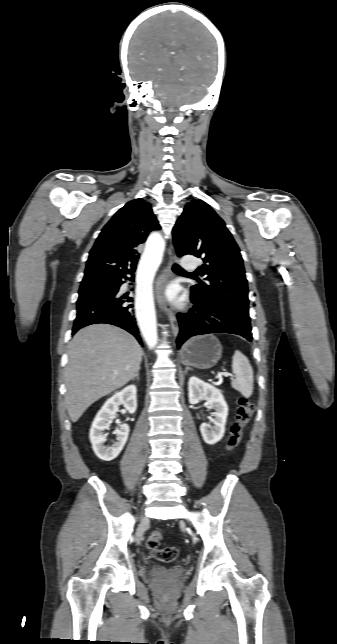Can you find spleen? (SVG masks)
I'll use <instances>...</instances> for the list:
<instances>
[{
  "mask_svg": "<svg viewBox=\"0 0 337 644\" xmlns=\"http://www.w3.org/2000/svg\"><path fill=\"white\" fill-rule=\"evenodd\" d=\"M232 370L235 379L232 380V387L248 398L253 393V369L247 357L236 350L232 358Z\"/></svg>",
  "mask_w": 337,
  "mask_h": 644,
  "instance_id": "1",
  "label": "spleen"
}]
</instances>
